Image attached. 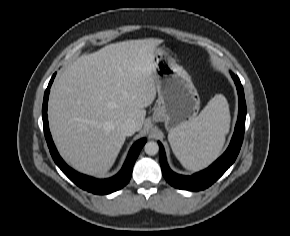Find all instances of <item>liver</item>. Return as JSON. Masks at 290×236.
Returning <instances> with one entry per match:
<instances>
[{
  "instance_id": "liver-1",
  "label": "liver",
  "mask_w": 290,
  "mask_h": 236,
  "mask_svg": "<svg viewBox=\"0 0 290 236\" xmlns=\"http://www.w3.org/2000/svg\"><path fill=\"white\" fill-rule=\"evenodd\" d=\"M163 40L109 44L79 57L51 88L48 120L56 147L75 170L104 176L114 164L133 120L141 130L156 97L154 52Z\"/></svg>"
}]
</instances>
